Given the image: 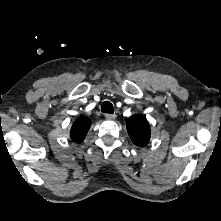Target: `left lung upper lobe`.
<instances>
[{
  "label": "left lung upper lobe",
  "instance_id": "5c2ea615",
  "mask_svg": "<svg viewBox=\"0 0 221 221\" xmlns=\"http://www.w3.org/2000/svg\"><path fill=\"white\" fill-rule=\"evenodd\" d=\"M128 134L137 146H144L150 139V126L140 115H132L126 122Z\"/></svg>",
  "mask_w": 221,
  "mask_h": 221
}]
</instances>
